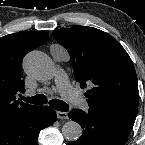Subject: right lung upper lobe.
Masks as SVG:
<instances>
[{
	"label": "right lung upper lobe",
	"instance_id": "right-lung-upper-lobe-1",
	"mask_svg": "<svg viewBox=\"0 0 145 145\" xmlns=\"http://www.w3.org/2000/svg\"><path fill=\"white\" fill-rule=\"evenodd\" d=\"M48 36L47 31H21L0 38V123L34 107L17 99L25 92L22 60Z\"/></svg>",
	"mask_w": 145,
	"mask_h": 145
}]
</instances>
